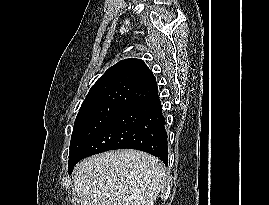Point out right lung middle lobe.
I'll return each instance as SVG.
<instances>
[{
	"label": "right lung middle lobe",
	"mask_w": 269,
	"mask_h": 205,
	"mask_svg": "<svg viewBox=\"0 0 269 205\" xmlns=\"http://www.w3.org/2000/svg\"><path fill=\"white\" fill-rule=\"evenodd\" d=\"M127 107L94 105L82 107L76 117L70 142L68 173L71 174L81 149L117 114Z\"/></svg>",
	"instance_id": "right-lung-middle-lobe-1"
}]
</instances>
